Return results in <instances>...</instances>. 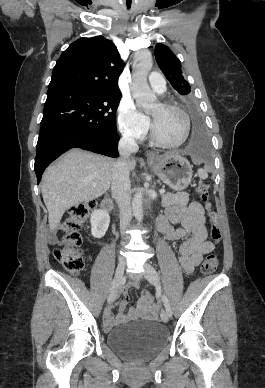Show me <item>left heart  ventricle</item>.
Returning a JSON list of instances; mask_svg holds the SVG:
<instances>
[{"instance_id": "b2bd125f", "label": "left heart ventricle", "mask_w": 265, "mask_h": 388, "mask_svg": "<svg viewBox=\"0 0 265 388\" xmlns=\"http://www.w3.org/2000/svg\"><path fill=\"white\" fill-rule=\"evenodd\" d=\"M149 91L154 90L149 84ZM156 122L157 130L160 136L169 142H176L180 139L183 128V119L180 114L173 110L163 108L157 105L150 113Z\"/></svg>"}]
</instances>
